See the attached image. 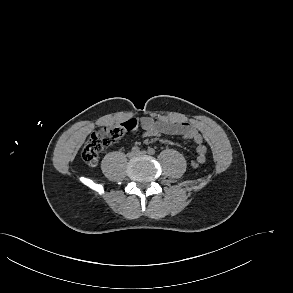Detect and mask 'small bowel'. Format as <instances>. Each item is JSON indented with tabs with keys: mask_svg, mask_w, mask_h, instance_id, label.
Returning a JSON list of instances; mask_svg holds the SVG:
<instances>
[{
	"mask_svg": "<svg viewBox=\"0 0 293 293\" xmlns=\"http://www.w3.org/2000/svg\"><path fill=\"white\" fill-rule=\"evenodd\" d=\"M144 135L147 137H157L163 134L179 135L187 139H192L197 144V155H205L206 148L202 144L203 137L197 128L185 121H170L167 119H154L152 117H142L138 122Z\"/></svg>",
	"mask_w": 293,
	"mask_h": 293,
	"instance_id": "c3829d8e",
	"label": "small bowel"
}]
</instances>
